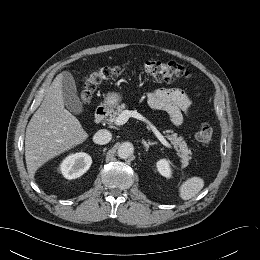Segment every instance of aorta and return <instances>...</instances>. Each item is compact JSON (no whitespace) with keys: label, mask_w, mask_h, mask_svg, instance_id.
Returning <instances> with one entry per match:
<instances>
[{"label":"aorta","mask_w":260,"mask_h":260,"mask_svg":"<svg viewBox=\"0 0 260 260\" xmlns=\"http://www.w3.org/2000/svg\"><path fill=\"white\" fill-rule=\"evenodd\" d=\"M134 153V146L130 142H123L119 145L117 154L121 159H127Z\"/></svg>","instance_id":"762f6f07"}]
</instances>
